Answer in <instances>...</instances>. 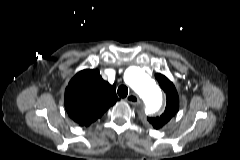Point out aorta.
Instances as JSON below:
<instances>
[{"label": "aorta", "instance_id": "762f6f07", "mask_svg": "<svg viewBox=\"0 0 240 160\" xmlns=\"http://www.w3.org/2000/svg\"><path fill=\"white\" fill-rule=\"evenodd\" d=\"M125 78L142 99L147 114L160 111L163 103L162 92L149 75L138 67H130L125 73Z\"/></svg>", "mask_w": 240, "mask_h": 160}]
</instances>
